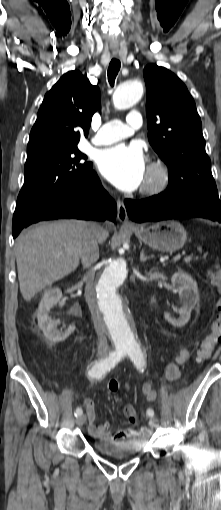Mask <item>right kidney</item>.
<instances>
[{"mask_svg":"<svg viewBox=\"0 0 221 510\" xmlns=\"http://www.w3.org/2000/svg\"><path fill=\"white\" fill-rule=\"evenodd\" d=\"M62 292L59 288H51L44 292L42 300L37 310L38 326L43 331L44 336L54 343L64 341L75 330L74 325H70L64 331L57 329L58 321L49 316L50 310L60 301Z\"/></svg>","mask_w":221,"mask_h":510,"instance_id":"right-kidney-1","label":"right kidney"}]
</instances>
